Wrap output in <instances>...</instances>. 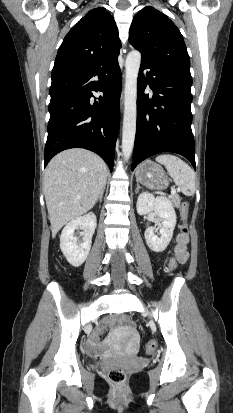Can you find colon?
Wrapping results in <instances>:
<instances>
[{"label":"colon","instance_id":"colon-1","mask_svg":"<svg viewBox=\"0 0 233 413\" xmlns=\"http://www.w3.org/2000/svg\"><path fill=\"white\" fill-rule=\"evenodd\" d=\"M188 210L189 206L187 202H183L181 204V218H182V224L180 228V235L187 239L188 238V224H187V219H188ZM177 258L173 257L171 258L169 265H168V270L170 272L174 271L177 267ZM156 349V343L154 341H150L146 345V352L148 354H152ZM126 377V372L123 368L121 367H113L109 371V378L115 382V383H121L124 381Z\"/></svg>","mask_w":233,"mask_h":413}]
</instances>
